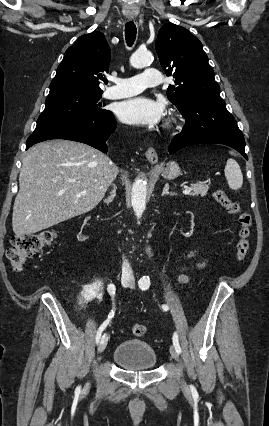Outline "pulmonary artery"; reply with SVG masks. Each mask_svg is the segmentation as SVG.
<instances>
[{
    "mask_svg": "<svg viewBox=\"0 0 269 426\" xmlns=\"http://www.w3.org/2000/svg\"><path fill=\"white\" fill-rule=\"evenodd\" d=\"M114 85L104 95L107 99H120L136 95L147 87L162 83V74L156 68H146L142 73L128 78H115Z\"/></svg>",
    "mask_w": 269,
    "mask_h": 426,
    "instance_id": "e3ab8cb5",
    "label": "pulmonary artery"
}]
</instances>
